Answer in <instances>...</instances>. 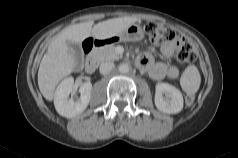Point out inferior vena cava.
Returning a JSON list of instances; mask_svg holds the SVG:
<instances>
[{
  "label": "inferior vena cava",
  "mask_w": 238,
  "mask_h": 158,
  "mask_svg": "<svg viewBox=\"0 0 238 158\" xmlns=\"http://www.w3.org/2000/svg\"><path fill=\"white\" fill-rule=\"evenodd\" d=\"M114 68L113 62H105L100 65L99 71L101 74L105 75L112 71Z\"/></svg>",
  "instance_id": "602c4592"
}]
</instances>
